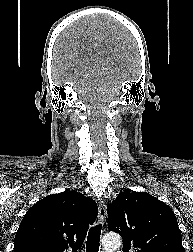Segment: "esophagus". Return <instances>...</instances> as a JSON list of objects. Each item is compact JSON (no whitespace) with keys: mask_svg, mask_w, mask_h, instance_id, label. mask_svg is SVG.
<instances>
[{"mask_svg":"<svg viewBox=\"0 0 193 252\" xmlns=\"http://www.w3.org/2000/svg\"><path fill=\"white\" fill-rule=\"evenodd\" d=\"M106 215H107L106 204L104 201H101L98 207V219L100 223L102 224L105 223Z\"/></svg>","mask_w":193,"mask_h":252,"instance_id":"1","label":"esophagus"}]
</instances>
